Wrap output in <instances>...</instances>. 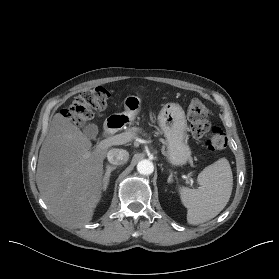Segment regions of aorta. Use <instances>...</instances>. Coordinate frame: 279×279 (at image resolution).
<instances>
[{
  "mask_svg": "<svg viewBox=\"0 0 279 279\" xmlns=\"http://www.w3.org/2000/svg\"><path fill=\"white\" fill-rule=\"evenodd\" d=\"M137 171L142 175H150L154 171V165L150 160H141L137 164Z\"/></svg>",
  "mask_w": 279,
  "mask_h": 279,
  "instance_id": "obj_1",
  "label": "aorta"
}]
</instances>
